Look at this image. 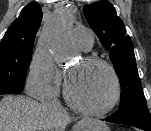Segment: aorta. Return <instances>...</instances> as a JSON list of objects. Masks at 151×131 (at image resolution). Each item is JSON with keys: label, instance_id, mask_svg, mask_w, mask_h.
Here are the masks:
<instances>
[{"label": "aorta", "instance_id": "762f6f07", "mask_svg": "<svg viewBox=\"0 0 151 131\" xmlns=\"http://www.w3.org/2000/svg\"><path fill=\"white\" fill-rule=\"evenodd\" d=\"M70 19L71 15L66 11L56 13L45 29L46 40L52 46L58 60H70L76 55L68 35Z\"/></svg>", "mask_w": 151, "mask_h": 131}]
</instances>
